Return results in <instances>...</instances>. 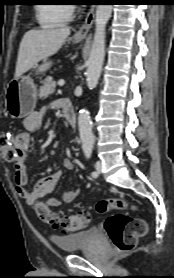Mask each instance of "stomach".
<instances>
[{
    "instance_id": "obj_1",
    "label": "stomach",
    "mask_w": 174,
    "mask_h": 278,
    "mask_svg": "<svg viewBox=\"0 0 174 278\" xmlns=\"http://www.w3.org/2000/svg\"><path fill=\"white\" fill-rule=\"evenodd\" d=\"M85 37L75 35L74 43L81 42ZM52 65V61L44 59L43 63L36 65V74H42L47 71ZM37 86L30 75L19 76L12 79L7 85L5 92V108L11 118H24L36 107L37 102Z\"/></svg>"
}]
</instances>
